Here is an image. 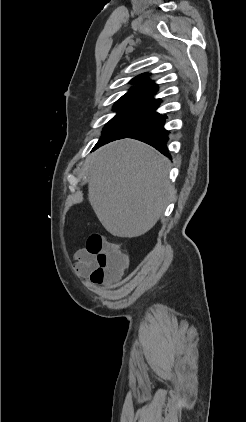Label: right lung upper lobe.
I'll return each mask as SVG.
<instances>
[{
  "instance_id": "1",
  "label": "right lung upper lobe",
  "mask_w": 246,
  "mask_h": 422,
  "mask_svg": "<svg viewBox=\"0 0 246 422\" xmlns=\"http://www.w3.org/2000/svg\"><path fill=\"white\" fill-rule=\"evenodd\" d=\"M149 75V73H144L133 78L130 82L136 86L123 95L115 103L114 108L157 109L161 102L160 99L154 98L158 91V85L148 80Z\"/></svg>"
}]
</instances>
